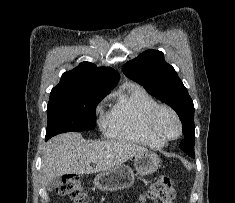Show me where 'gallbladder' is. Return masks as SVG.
Segmentation results:
<instances>
[{"label": "gallbladder", "mask_w": 235, "mask_h": 203, "mask_svg": "<svg viewBox=\"0 0 235 203\" xmlns=\"http://www.w3.org/2000/svg\"><path fill=\"white\" fill-rule=\"evenodd\" d=\"M60 184H61L60 178H56L47 185V189L48 191H53L54 189L59 187Z\"/></svg>", "instance_id": "1"}]
</instances>
